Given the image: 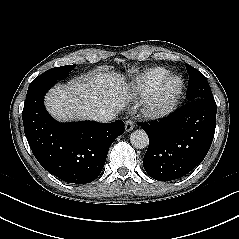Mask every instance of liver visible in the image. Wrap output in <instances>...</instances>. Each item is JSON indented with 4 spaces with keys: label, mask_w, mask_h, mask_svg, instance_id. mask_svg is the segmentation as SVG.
Returning <instances> with one entry per match:
<instances>
[{
    "label": "liver",
    "mask_w": 239,
    "mask_h": 239,
    "mask_svg": "<svg viewBox=\"0 0 239 239\" xmlns=\"http://www.w3.org/2000/svg\"><path fill=\"white\" fill-rule=\"evenodd\" d=\"M124 76L97 73L52 89L45 101L49 113L60 121L93 119L98 111L118 112L130 99Z\"/></svg>",
    "instance_id": "liver-1"
}]
</instances>
